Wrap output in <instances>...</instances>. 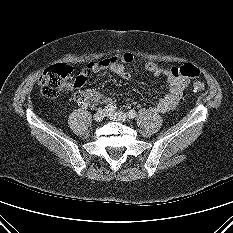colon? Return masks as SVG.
Here are the masks:
<instances>
[{
	"mask_svg": "<svg viewBox=\"0 0 233 233\" xmlns=\"http://www.w3.org/2000/svg\"><path fill=\"white\" fill-rule=\"evenodd\" d=\"M71 73V67L64 63L52 65L45 69L39 79V87L42 95L47 98L56 97L67 85ZM199 74V69L191 64L177 67L174 70L175 76H180L187 79L197 78ZM75 81H77V79ZM192 88L196 92H201L204 90L205 86L202 82L195 81L192 85ZM75 98L80 100L82 98L81 94H76Z\"/></svg>",
	"mask_w": 233,
	"mask_h": 233,
	"instance_id": "5ec220e1",
	"label": "colon"
}]
</instances>
